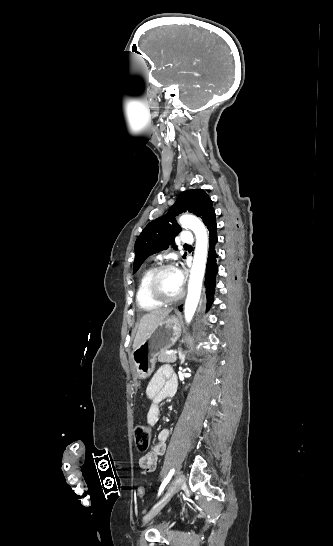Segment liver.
I'll list each match as a JSON object with an SVG mask.
<instances>
[{
	"mask_svg": "<svg viewBox=\"0 0 333 546\" xmlns=\"http://www.w3.org/2000/svg\"><path fill=\"white\" fill-rule=\"evenodd\" d=\"M171 309H156L145 314L138 325L137 333L133 343V349L138 348L146 341L156 326L161 323L171 312Z\"/></svg>",
	"mask_w": 333,
	"mask_h": 546,
	"instance_id": "1",
	"label": "liver"
}]
</instances>
